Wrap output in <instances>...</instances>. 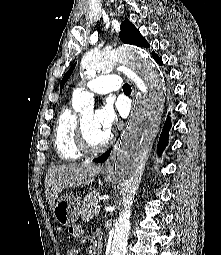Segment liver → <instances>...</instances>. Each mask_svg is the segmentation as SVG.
I'll return each mask as SVG.
<instances>
[{
	"mask_svg": "<svg viewBox=\"0 0 221 255\" xmlns=\"http://www.w3.org/2000/svg\"><path fill=\"white\" fill-rule=\"evenodd\" d=\"M101 170L100 165L90 162L69 163L49 168L45 177V194L49 207H53L64 189L92 184Z\"/></svg>",
	"mask_w": 221,
	"mask_h": 255,
	"instance_id": "obj_1",
	"label": "liver"
}]
</instances>
